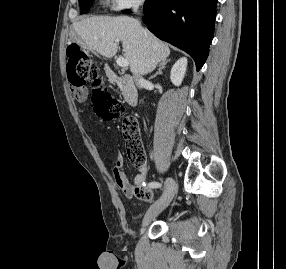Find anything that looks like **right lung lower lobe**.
I'll return each instance as SVG.
<instances>
[{
  "instance_id": "right-lung-lower-lobe-1",
  "label": "right lung lower lobe",
  "mask_w": 286,
  "mask_h": 269,
  "mask_svg": "<svg viewBox=\"0 0 286 269\" xmlns=\"http://www.w3.org/2000/svg\"><path fill=\"white\" fill-rule=\"evenodd\" d=\"M217 0H158L143 22L158 38L192 56L199 70L213 39Z\"/></svg>"
}]
</instances>
